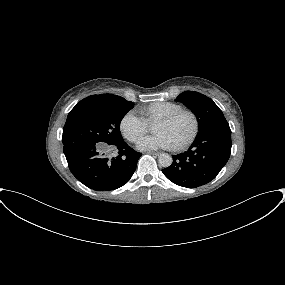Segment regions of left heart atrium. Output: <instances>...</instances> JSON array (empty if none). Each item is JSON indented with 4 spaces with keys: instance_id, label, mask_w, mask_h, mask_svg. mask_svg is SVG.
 <instances>
[{
    "instance_id": "left-heart-atrium-1",
    "label": "left heart atrium",
    "mask_w": 285,
    "mask_h": 285,
    "mask_svg": "<svg viewBox=\"0 0 285 285\" xmlns=\"http://www.w3.org/2000/svg\"><path fill=\"white\" fill-rule=\"evenodd\" d=\"M172 141L164 133H155L150 136L142 137L137 142L140 150H157L173 147Z\"/></svg>"
}]
</instances>
